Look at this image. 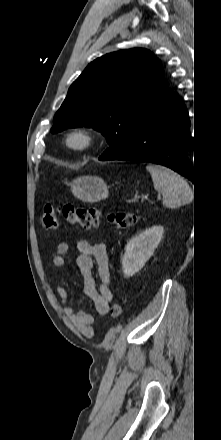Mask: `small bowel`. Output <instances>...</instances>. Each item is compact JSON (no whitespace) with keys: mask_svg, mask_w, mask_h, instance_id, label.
<instances>
[{"mask_svg":"<svg viewBox=\"0 0 221 440\" xmlns=\"http://www.w3.org/2000/svg\"><path fill=\"white\" fill-rule=\"evenodd\" d=\"M77 267L83 279L84 293L90 299L95 311L100 316H105L109 312L110 303L114 294L110 284V267L108 253L105 244H91L86 240H80L77 243ZM69 252V244L66 241L59 243L57 254L53 257V264L57 268H63L66 265L65 256ZM96 266V273L99 283L93 275ZM57 294L60 302L66 305L70 295L66 288L57 286ZM64 313L70 319L72 324L86 337L91 338L95 334L94 318L84 310L75 311L71 306H65Z\"/></svg>","mask_w":221,"mask_h":440,"instance_id":"obj_1","label":"small bowel"}]
</instances>
